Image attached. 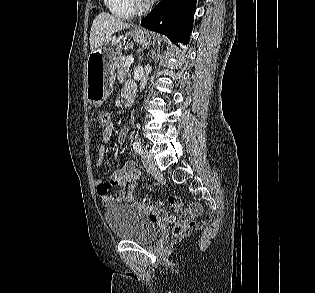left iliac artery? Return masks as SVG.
<instances>
[{"label":"left iliac artery","mask_w":315,"mask_h":293,"mask_svg":"<svg viewBox=\"0 0 315 293\" xmlns=\"http://www.w3.org/2000/svg\"><path fill=\"white\" fill-rule=\"evenodd\" d=\"M133 149H134V151H135L137 154H139V155H142V154H143V150H142V147H141V145H140L139 142H137V141H134V142H133Z\"/></svg>","instance_id":"44dca946"}]
</instances>
